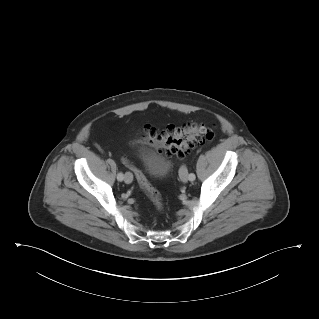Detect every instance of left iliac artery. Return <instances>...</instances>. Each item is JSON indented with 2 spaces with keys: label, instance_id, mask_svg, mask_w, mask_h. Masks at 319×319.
<instances>
[{
  "label": "left iliac artery",
  "instance_id": "obj_1",
  "mask_svg": "<svg viewBox=\"0 0 319 319\" xmlns=\"http://www.w3.org/2000/svg\"><path fill=\"white\" fill-rule=\"evenodd\" d=\"M181 168H182V167H181ZM181 168H180V169H181ZM188 177H189V180H190V181H194L195 178H196L195 174H193V173H190V174L188 175Z\"/></svg>",
  "mask_w": 319,
  "mask_h": 319
}]
</instances>
